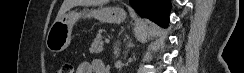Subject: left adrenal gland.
I'll list each match as a JSON object with an SVG mask.
<instances>
[{
  "label": "left adrenal gland",
  "instance_id": "1",
  "mask_svg": "<svg viewBox=\"0 0 244 73\" xmlns=\"http://www.w3.org/2000/svg\"><path fill=\"white\" fill-rule=\"evenodd\" d=\"M119 46H120V42H116L114 44V53H115V57L116 58L119 57V55H120V48H119Z\"/></svg>",
  "mask_w": 244,
  "mask_h": 73
}]
</instances>
